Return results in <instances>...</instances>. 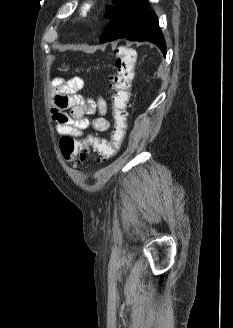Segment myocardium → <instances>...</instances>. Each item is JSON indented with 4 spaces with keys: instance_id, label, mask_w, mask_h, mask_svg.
Returning a JSON list of instances; mask_svg holds the SVG:
<instances>
[{
    "instance_id": "myocardium-1",
    "label": "myocardium",
    "mask_w": 233,
    "mask_h": 328,
    "mask_svg": "<svg viewBox=\"0 0 233 328\" xmlns=\"http://www.w3.org/2000/svg\"><path fill=\"white\" fill-rule=\"evenodd\" d=\"M97 2L96 0H88L87 1V9L86 12L87 14H92L93 12H95V10L97 9Z\"/></svg>"
}]
</instances>
